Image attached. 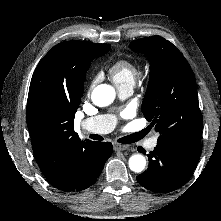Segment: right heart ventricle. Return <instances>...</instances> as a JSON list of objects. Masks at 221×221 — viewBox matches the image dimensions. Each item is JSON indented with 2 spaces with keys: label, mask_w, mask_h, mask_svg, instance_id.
Segmentation results:
<instances>
[{
  "label": "right heart ventricle",
  "mask_w": 221,
  "mask_h": 221,
  "mask_svg": "<svg viewBox=\"0 0 221 221\" xmlns=\"http://www.w3.org/2000/svg\"><path fill=\"white\" fill-rule=\"evenodd\" d=\"M108 73L118 88L122 86H133L138 75V64L132 59L120 58L110 65Z\"/></svg>",
  "instance_id": "1"
}]
</instances>
